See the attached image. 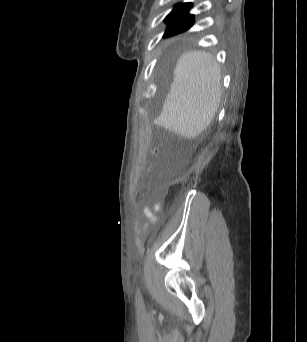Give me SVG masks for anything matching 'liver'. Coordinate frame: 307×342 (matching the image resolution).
Instances as JSON below:
<instances>
[{
	"label": "liver",
	"instance_id": "6515ba94",
	"mask_svg": "<svg viewBox=\"0 0 307 342\" xmlns=\"http://www.w3.org/2000/svg\"><path fill=\"white\" fill-rule=\"evenodd\" d=\"M221 70L207 52H185L177 60L173 82L155 124L187 140L210 126L221 100Z\"/></svg>",
	"mask_w": 307,
	"mask_h": 342
}]
</instances>
